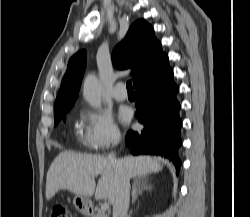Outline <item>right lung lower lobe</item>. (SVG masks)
Here are the masks:
<instances>
[{
	"mask_svg": "<svg viewBox=\"0 0 250 217\" xmlns=\"http://www.w3.org/2000/svg\"><path fill=\"white\" fill-rule=\"evenodd\" d=\"M134 87L137 95L135 116L144 129L140 132L129 131L125 138L126 145L131 147L134 155H161L179 169L178 148L182 144L180 104L176 99L179 87L173 81L168 56Z\"/></svg>",
	"mask_w": 250,
	"mask_h": 217,
	"instance_id": "98d812e1",
	"label": "right lung lower lobe"
}]
</instances>
